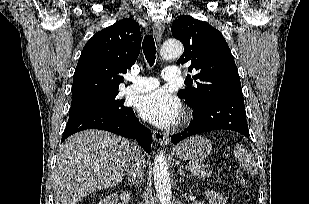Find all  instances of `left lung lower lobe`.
Returning a JSON list of instances; mask_svg holds the SVG:
<instances>
[{"label": "left lung lower lobe", "instance_id": "0a47b994", "mask_svg": "<svg viewBox=\"0 0 309 204\" xmlns=\"http://www.w3.org/2000/svg\"><path fill=\"white\" fill-rule=\"evenodd\" d=\"M192 114L189 127L171 136L174 144L195 134L219 129L236 131L249 138L243 96L214 98L193 109Z\"/></svg>", "mask_w": 309, "mask_h": 204}]
</instances>
